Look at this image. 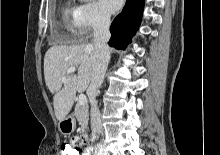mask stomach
Returning a JSON list of instances; mask_svg holds the SVG:
<instances>
[{
    "mask_svg": "<svg viewBox=\"0 0 220 155\" xmlns=\"http://www.w3.org/2000/svg\"><path fill=\"white\" fill-rule=\"evenodd\" d=\"M58 128L64 135H69L74 132L76 128V122L73 116H67L65 119L59 122Z\"/></svg>",
    "mask_w": 220,
    "mask_h": 155,
    "instance_id": "stomach-1",
    "label": "stomach"
}]
</instances>
